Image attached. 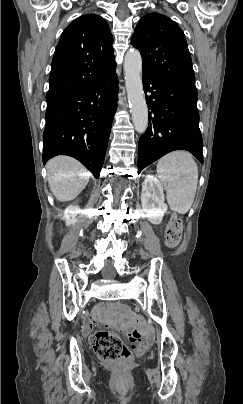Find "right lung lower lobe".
<instances>
[{
	"label": "right lung lower lobe",
	"mask_w": 243,
	"mask_h": 404,
	"mask_svg": "<svg viewBox=\"0 0 243 404\" xmlns=\"http://www.w3.org/2000/svg\"><path fill=\"white\" fill-rule=\"evenodd\" d=\"M117 75L47 98L43 162L56 155L79 160L99 178L117 107Z\"/></svg>",
	"instance_id": "obj_1"
}]
</instances>
